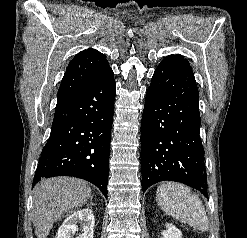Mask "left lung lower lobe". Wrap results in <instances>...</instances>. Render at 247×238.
<instances>
[{"label": "left lung lower lobe", "instance_id": "left-lung-lower-lobe-1", "mask_svg": "<svg viewBox=\"0 0 247 238\" xmlns=\"http://www.w3.org/2000/svg\"><path fill=\"white\" fill-rule=\"evenodd\" d=\"M199 93L189 64L166 57L156 68L141 123L142 190L177 181L207 194L199 135Z\"/></svg>", "mask_w": 247, "mask_h": 238}]
</instances>
